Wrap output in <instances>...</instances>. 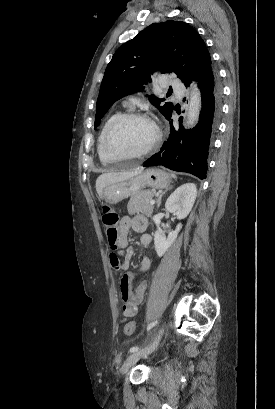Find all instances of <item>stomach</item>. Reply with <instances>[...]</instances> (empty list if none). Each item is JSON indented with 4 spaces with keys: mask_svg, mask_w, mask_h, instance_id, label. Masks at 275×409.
Returning a JSON list of instances; mask_svg holds the SVG:
<instances>
[{
    "mask_svg": "<svg viewBox=\"0 0 275 409\" xmlns=\"http://www.w3.org/2000/svg\"><path fill=\"white\" fill-rule=\"evenodd\" d=\"M171 182V178L168 172L162 170V168H146L141 174L126 178V180H120V182H114V184H108L103 188V198L106 202H110V205H115V202H119L122 198L127 196H133L137 194L146 186L151 188H167Z\"/></svg>",
    "mask_w": 275,
    "mask_h": 409,
    "instance_id": "stomach-1",
    "label": "stomach"
}]
</instances>
